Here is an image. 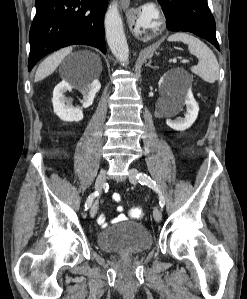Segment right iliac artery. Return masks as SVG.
<instances>
[{"label":"right iliac artery","mask_w":247,"mask_h":299,"mask_svg":"<svg viewBox=\"0 0 247 299\" xmlns=\"http://www.w3.org/2000/svg\"><path fill=\"white\" fill-rule=\"evenodd\" d=\"M99 195L98 191H95L93 192L92 194H90L86 200V203H85V208L86 209H89L90 206L92 205V202L94 200L95 197H97Z\"/></svg>","instance_id":"1"}]
</instances>
